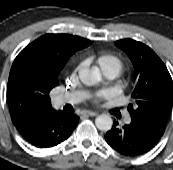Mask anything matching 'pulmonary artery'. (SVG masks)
I'll list each match as a JSON object with an SVG mask.
<instances>
[{
    "mask_svg": "<svg viewBox=\"0 0 173 170\" xmlns=\"http://www.w3.org/2000/svg\"><path fill=\"white\" fill-rule=\"evenodd\" d=\"M100 70L102 71L103 75L108 78L112 79L117 74L116 71L109 66H101ZM90 96V91L87 90H77V91H71V92H65L59 95L58 100L61 104H76L79 102L84 101ZM130 121V118L127 116L125 118V122L128 123Z\"/></svg>",
    "mask_w": 173,
    "mask_h": 170,
    "instance_id": "e3ab8cb5",
    "label": "pulmonary artery"
}]
</instances>
